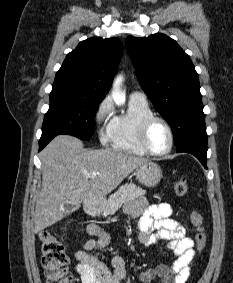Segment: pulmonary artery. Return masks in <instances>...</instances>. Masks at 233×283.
<instances>
[{
  "label": "pulmonary artery",
  "mask_w": 233,
  "mask_h": 283,
  "mask_svg": "<svg viewBox=\"0 0 233 283\" xmlns=\"http://www.w3.org/2000/svg\"><path fill=\"white\" fill-rule=\"evenodd\" d=\"M129 99L137 102H147L146 95L140 91H133L129 95Z\"/></svg>",
  "instance_id": "1"
}]
</instances>
